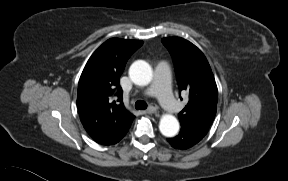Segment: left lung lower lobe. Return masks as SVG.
I'll return each mask as SVG.
<instances>
[{
    "label": "left lung lower lobe",
    "mask_w": 288,
    "mask_h": 181,
    "mask_svg": "<svg viewBox=\"0 0 288 181\" xmlns=\"http://www.w3.org/2000/svg\"><path fill=\"white\" fill-rule=\"evenodd\" d=\"M207 131L201 128L182 127L179 135L167 140L176 149H188L197 144L206 135Z\"/></svg>",
    "instance_id": "left-lung-lower-lobe-1"
}]
</instances>
